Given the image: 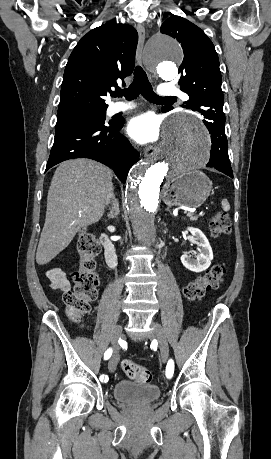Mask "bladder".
I'll list each match as a JSON object with an SVG mask.
<instances>
[{"label": "bladder", "instance_id": "obj_1", "mask_svg": "<svg viewBox=\"0 0 271 459\" xmlns=\"http://www.w3.org/2000/svg\"><path fill=\"white\" fill-rule=\"evenodd\" d=\"M113 397L123 404L139 403L147 405L160 396L161 389L156 385L121 381L113 387Z\"/></svg>", "mask_w": 271, "mask_h": 459}]
</instances>
